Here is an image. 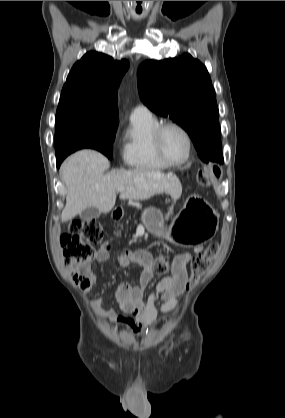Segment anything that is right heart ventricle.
Instances as JSON below:
<instances>
[{"label":"right heart ventricle","instance_id":"1","mask_svg":"<svg viewBox=\"0 0 285 418\" xmlns=\"http://www.w3.org/2000/svg\"><path fill=\"white\" fill-rule=\"evenodd\" d=\"M158 125V121L152 116L131 120L122 140L123 157L127 165L152 171L169 167L160 159L152 143V135Z\"/></svg>","mask_w":285,"mask_h":418}]
</instances>
